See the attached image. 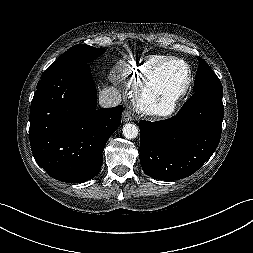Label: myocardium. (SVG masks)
Masks as SVG:
<instances>
[{
    "mask_svg": "<svg viewBox=\"0 0 253 253\" xmlns=\"http://www.w3.org/2000/svg\"><path fill=\"white\" fill-rule=\"evenodd\" d=\"M183 64L187 69V79L181 89L174 93H153L152 84L157 74L170 63ZM193 81V70L190 64L181 58H168L156 65L144 78L136 92V104L140 111L155 117L172 115L179 103L189 92Z\"/></svg>",
    "mask_w": 253,
    "mask_h": 253,
    "instance_id": "f54148a6",
    "label": "myocardium"
}]
</instances>
